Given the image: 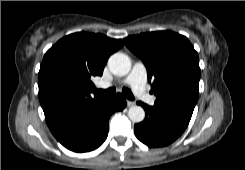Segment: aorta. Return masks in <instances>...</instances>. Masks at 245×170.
<instances>
[{"mask_svg":"<svg viewBox=\"0 0 245 170\" xmlns=\"http://www.w3.org/2000/svg\"><path fill=\"white\" fill-rule=\"evenodd\" d=\"M110 71L117 76H125L131 70V60L124 53H114L108 60ZM128 117L134 123L142 122L145 118V111L140 106H132L128 110Z\"/></svg>","mask_w":245,"mask_h":170,"instance_id":"obj_1","label":"aorta"}]
</instances>
